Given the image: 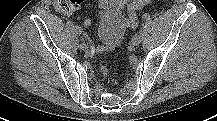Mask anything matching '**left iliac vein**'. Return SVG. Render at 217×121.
I'll use <instances>...</instances> for the list:
<instances>
[{"instance_id":"obj_1","label":"left iliac vein","mask_w":217,"mask_h":121,"mask_svg":"<svg viewBox=\"0 0 217 121\" xmlns=\"http://www.w3.org/2000/svg\"><path fill=\"white\" fill-rule=\"evenodd\" d=\"M140 42H141V36H140L139 34H135V35L132 37V39H131V44H132L133 46L139 45Z\"/></svg>"}]
</instances>
